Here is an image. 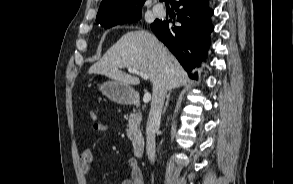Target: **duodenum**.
Masks as SVG:
<instances>
[{
  "mask_svg": "<svg viewBox=\"0 0 293 184\" xmlns=\"http://www.w3.org/2000/svg\"><path fill=\"white\" fill-rule=\"evenodd\" d=\"M131 102L135 105H140V98L134 96ZM145 148V139L142 135L135 136L132 140V150L136 157H141Z\"/></svg>",
  "mask_w": 293,
  "mask_h": 184,
  "instance_id": "duodenum-1",
  "label": "duodenum"
}]
</instances>
